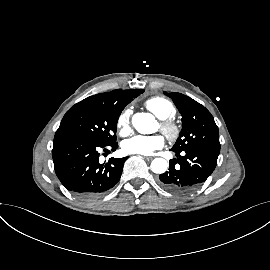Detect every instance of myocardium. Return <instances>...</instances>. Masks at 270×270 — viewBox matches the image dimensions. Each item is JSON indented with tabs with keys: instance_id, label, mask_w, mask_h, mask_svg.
Wrapping results in <instances>:
<instances>
[{
	"instance_id": "obj_1",
	"label": "myocardium",
	"mask_w": 270,
	"mask_h": 270,
	"mask_svg": "<svg viewBox=\"0 0 270 270\" xmlns=\"http://www.w3.org/2000/svg\"><path fill=\"white\" fill-rule=\"evenodd\" d=\"M160 130L166 135V137L175 141L180 136L181 128L173 119H162L160 122Z\"/></svg>"
}]
</instances>
